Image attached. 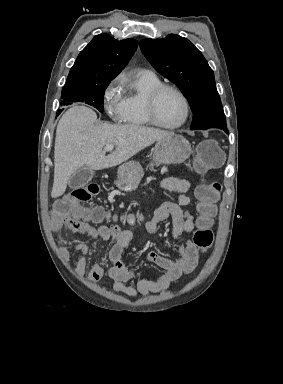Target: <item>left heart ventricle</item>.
Segmentation results:
<instances>
[{
    "instance_id": "1",
    "label": "left heart ventricle",
    "mask_w": 283,
    "mask_h": 384,
    "mask_svg": "<svg viewBox=\"0 0 283 384\" xmlns=\"http://www.w3.org/2000/svg\"><path fill=\"white\" fill-rule=\"evenodd\" d=\"M155 114L163 125H175L184 117V104L176 93L165 91L157 100Z\"/></svg>"
}]
</instances>
